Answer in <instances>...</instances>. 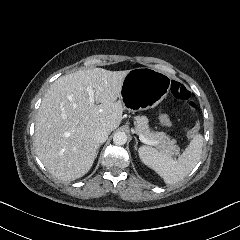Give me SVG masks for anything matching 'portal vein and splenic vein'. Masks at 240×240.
Here are the masks:
<instances>
[{"instance_id": "18ae733b", "label": "portal vein and splenic vein", "mask_w": 240, "mask_h": 240, "mask_svg": "<svg viewBox=\"0 0 240 240\" xmlns=\"http://www.w3.org/2000/svg\"><path fill=\"white\" fill-rule=\"evenodd\" d=\"M85 90H86V91L88 92V94H89V100H90V102H94V98H93V96H94V90H93L92 86H90V85L86 86ZM132 131L135 133V130H132ZM138 137H139V140H140L141 142H143L144 144L150 145V141L145 138V135H144V134L138 133Z\"/></svg>"}]
</instances>
